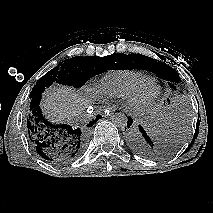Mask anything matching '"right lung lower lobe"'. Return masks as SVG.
<instances>
[{"label":"right lung lower lobe","instance_id":"98d812e1","mask_svg":"<svg viewBox=\"0 0 213 213\" xmlns=\"http://www.w3.org/2000/svg\"><path fill=\"white\" fill-rule=\"evenodd\" d=\"M39 94L30 100L27 114V132L37 153L54 164L69 163L78 158L85 149L89 128L100 118L98 115L86 127L80 129L67 124L49 122L40 109Z\"/></svg>","mask_w":213,"mask_h":213}]
</instances>
